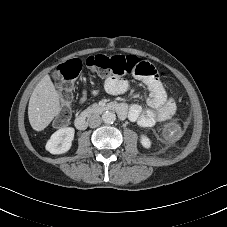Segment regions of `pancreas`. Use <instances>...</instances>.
Here are the masks:
<instances>
[{"mask_svg":"<svg viewBox=\"0 0 227 227\" xmlns=\"http://www.w3.org/2000/svg\"><path fill=\"white\" fill-rule=\"evenodd\" d=\"M94 107H97V104H94V105H93V108H94Z\"/></svg>","mask_w":227,"mask_h":227,"instance_id":"1","label":"pancreas"}]
</instances>
